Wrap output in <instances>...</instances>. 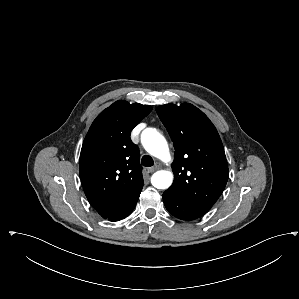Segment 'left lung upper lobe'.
Instances as JSON below:
<instances>
[{
    "label": "left lung upper lobe",
    "instance_id": "1",
    "mask_svg": "<svg viewBox=\"0 0 299 299\" xmlns=\"http://www.w3.org/2000/svg\"><path fill=\"white\" fill-rule=\"evenodd\" d=\"M156 112L175 147L174 181L169 189L209 211L222 194L229 175L215 126L201 110L187 103L161 105Z\"/></svg>",
    "mask_w": 299,
    "mask_h": 299
}]
</instances>
